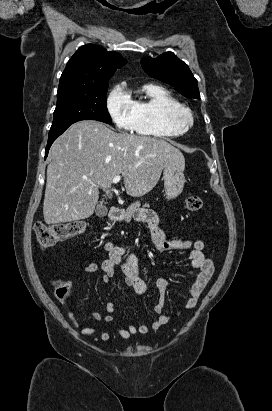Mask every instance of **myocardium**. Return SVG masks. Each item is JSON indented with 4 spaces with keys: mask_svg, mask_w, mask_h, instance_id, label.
I'll use <instances>...</instances> for the list:
<instances>
[{
    "mask_svg": "<svg viewBox=\"0 0 272 411\" xmlns=\"http://www.w3.org/2000/svg\"><path fill=\"white\" fill-rule=\"evenodd\" d=\"M170 124L186 132L193 124V114L189 110H175L169 114Z\"/></svg>",
    "mask_w": 272,
    "mask_h": 411,
    "instance_id": "f54148a6",
    "label": "myocardium"
}]
</instances>
